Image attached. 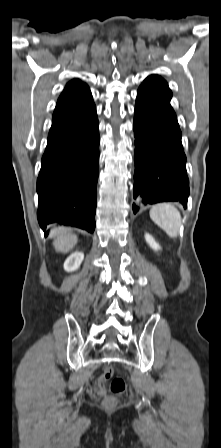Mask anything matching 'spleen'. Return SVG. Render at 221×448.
Here are the masks:
<instances>
[{
  "label": "spleen",
  "mask_w": 221,
  "mask_h": 448,
  "mask_svg": "<svg viewBox=\"0 0 221 448\" xmlns=\"http://www.w3.org/2000/svg\"><path fill=\"white\" fill-rule=\"evenodd\" d=\"M150 218L165 233L176 238L179 235L181 226V214L176 207L170 203H160L154 205L150 210Z\"/></svg>",
  "instance_id": "obj_1"
}]
</instances>
